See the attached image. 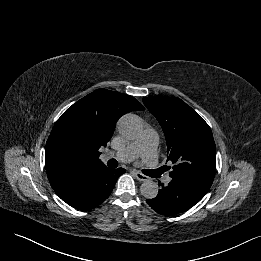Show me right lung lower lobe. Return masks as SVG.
Returning <instances> with one entry per match:
<instances>
[{"label":"right lung lower lobe","mask_w":261,"mask_h":261,"mask_svg":"<svg viewBox=\"0 0 261 261\" xmlns=\"http://www.w3.org/2000/svg\"><path fill=\"white\" fill-rule=\"evenodd\" d=\"M125 169H112L106 166L53 187L55 193L68 205L90 210L108 198L120 175Z\"/></svg>","instance_id":"98d812e1"}]
</instances>
